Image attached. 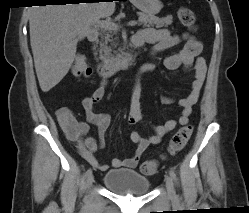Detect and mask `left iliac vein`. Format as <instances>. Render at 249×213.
<instances>
[{
  "instance_id": "left-iliac-vein-1",
  "label": "left iliac vein",
  "mask_w": 249,
  "mask_h": 213,
  "mask_svg": "<svg viewBox=\"0 0 249 213\" xmlns=\"http://www.w3.org/2000/svg\"><path fill=\"white\" fill-rule=\"evenodd\" d=\"M165 183L169 196L171 197L175 196L174 183L172 177L167 175L165 177Z\"/></svg>"
}]
</instances>
